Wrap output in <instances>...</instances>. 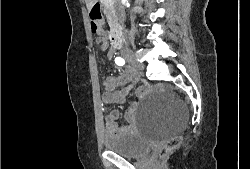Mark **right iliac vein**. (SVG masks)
Returning a JSON list of instances; mask_svg holds the SVG:
<instances>
[{
    "label": "right iliac vein",
    "mask_w": 250,
    "mask_h": 169,
    "mask_svg": "<svg viewBox=\"0 0 250 169\" xmlns=\"http://www.w3.org/2000/svg\"><path fill=\"white\" fill-rule=\"evenodd\" d=\"M127 60H128L131 64H133L135 67H137V68H140V69H141V67L143 66V64H141V63H139V62L137 61L136 56H135L134 54H131V55L127 58Z\"/></svg>",
    "instance_id": "obj_1"
}]
</instances>
